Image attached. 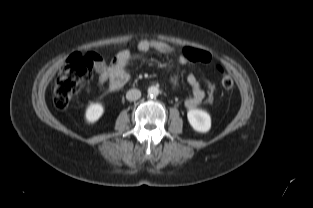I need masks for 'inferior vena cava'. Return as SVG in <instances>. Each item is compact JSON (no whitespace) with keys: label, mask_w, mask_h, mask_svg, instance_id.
Returning a JSON list of instances; mask_svg holds the SVG:
<instances>
[{"label":"inferior vena cava","mask_w":313,"mask_h":208,"mask_svg":"<svg viewBox=\"0 0 313 208\" xmlns=\"http://www.w3.org/2000/svg\"><path fill=\"white\" fill-rule=\"evenodd\" d=\"M141 97V92L138 89H131L126 93V98L129 101H136Z\"/></svg>","instance_id":"1"}]
</instances>
